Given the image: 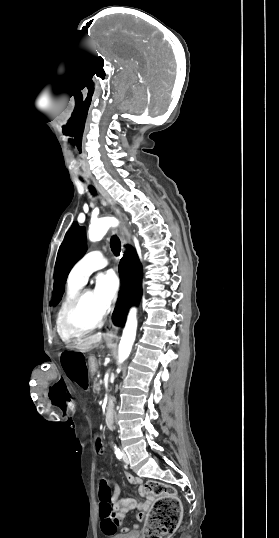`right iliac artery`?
<instances>
[{
	"instance_id": "obj_1",
	"label": "right iliac artery",
	"mask_w": 279,
	"mask_h": 538,
	"mask_svg": "<svg viewBox=\"0 0 279 538\" xmlns=\"http://www.w3.org/2000/svg\"><path fill=\"white\" fill-rule=\"evenodd\" d=\"M115 455L119 460H121L123 457V453L119 449L115 451Z\"/></svg>"
}]
</instances>
